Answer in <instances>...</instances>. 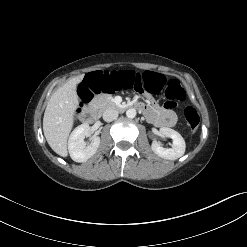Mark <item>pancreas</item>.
I'll use <instances>...</instances> for the list:
<instances>
[{"instance_id": "cf45deb5", "label": "pancreas", "mask_w": 247, "mask_h": 247, "mask_svg": "<svg viewBox=\"0 0 247 247\" xmlns=\"http://www.w3.org/2000/svg\"><path fill=\"white\" fill-rule=\"evenodd\" d=\"M95 103L97 105V108L100 111H103L107 108H114L116 107L112 96L109 95H100L95 99Z\"/></svg>"}]
</instances>
